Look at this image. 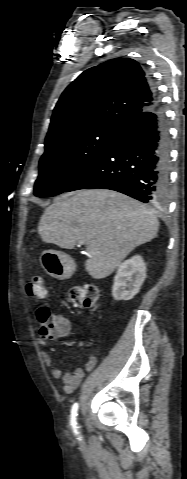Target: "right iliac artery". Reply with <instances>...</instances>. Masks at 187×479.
Listing matches in <instances>:
<instances>
[{
    "label": "right iliac artery",
    "instance_id": "right-iliac-artery-1",
    "mask_svg": "<svg viewBox=\"0 0 187 479\" xmlns=\"http://www.w3.org/2000/svg\"><path fill=\"white\" fill-rule=\"evenodd\" d=\"M78 407V403H74L71 409V426L75 434H78L76 422V416L78 415Z\"/></svg>",
    "mask_w": 187,
    "mask_h": 479
}]
</instances>
